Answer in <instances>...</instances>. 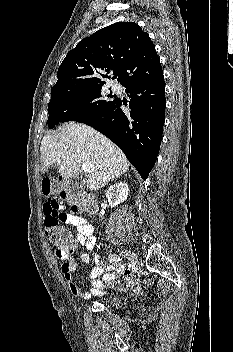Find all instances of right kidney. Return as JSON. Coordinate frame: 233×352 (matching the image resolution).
<instances>
[{
    "instance_id": "ca27d5eb",
    "label": "right kidney",
    "mask_w": 233,
    "mask_h": 352,
    "mask_svg": "<svg viewBox=\"0 0 233 352\" xmlns=\"http://www.w3.org/2000/svg\"><path fill=\"white\" fill-rule=\"evenodd\" d=\"M127 183L120 182L109 187L106 191V198L111 207H116L118 204L124 202L128 196Z\"/></svg>"
}]
</instances>
